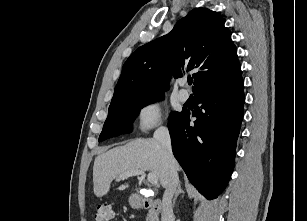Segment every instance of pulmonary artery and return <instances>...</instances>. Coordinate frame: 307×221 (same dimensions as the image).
I'll return each instance as SVG.
<instances>
[{
	"mask_svg": "<svg viewBox=\"0 0 307 221\" xmlns=\"http://www.w3.org/2000/svg\"><path fill=\"white\" fill-rule=\"evenodd\" d=\"M186 83H187V81L184 80V79L180 81V86L182 88L179 90L178 96H179V99L182 102L187 101L188 98H189V92L186 89L183 88L186 85Z\"/></svg>",
	"mask_w": 307,
	"mask_h": 221,
	"instance_id": "pulmonary-artery-1",
	"label": "pulmonary artery"
}]
</instances>
